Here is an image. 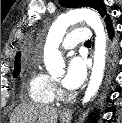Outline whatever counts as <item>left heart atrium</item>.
Returning a JSON list of instances; mask_svg holds the SVG:
<instances>
[{"instance_id": "39dd6f15", "label": "left heart atrium", "mask_w": 122, "mask_h": 123, "mask_svg": "<svg viewBox=\"0 0 122 123\" xmlns=\"http://www.w3.org/2000/svg\"><path fill=\"white\" fill-rule=\"evenodd\" d=\"M87 66L85 60L80 56H73L68 63L67 72L62 80V84L69 90L79 88L85 81Z\"/></svg>"}]
</instances>
